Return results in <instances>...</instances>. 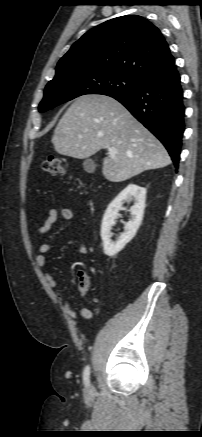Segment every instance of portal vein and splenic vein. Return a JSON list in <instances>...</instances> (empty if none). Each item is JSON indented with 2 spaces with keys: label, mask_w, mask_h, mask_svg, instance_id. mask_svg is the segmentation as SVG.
I'll return each mask as SVG.
<instances>
[{
  "label": "portal vein and splenic vein",
  "mask_w": 202,
  "mask_h": 437,
  "mask_svg": "<svg viewBox=\"0 0 202 437\" xmlns=\"http://www.w3.org/2000/svg\"><path fill=\"white\" fill-rule=\"evenodd\" d=\"M109 156L114 157L116 155V150L114 148L109 149Z\"/></svg>",
  "instance_id": "18ae733b"
}]
</instances>
